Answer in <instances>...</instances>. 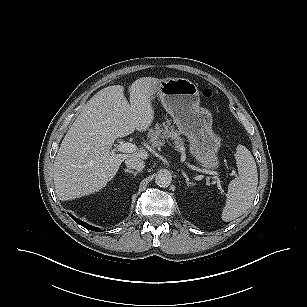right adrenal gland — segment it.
Listing matches in <instances>:
<instances>
[{"instance_id":"obj_1","label":"right adrenal gland","mask_w":307,"mask_h":307,"mask_svg":"<svg viewBox=\"0 0 307 307\" xmlns=\"http://www.w3.org/2000/svg\"><path fill=\"white\" fill-rule=\"evenodd\" d=\"M125 172H126V173H131V174H133L134 176H136V175L139 173V171H133V170H131V169H129V168H125Z\"/></svg>"}]
</instances>
